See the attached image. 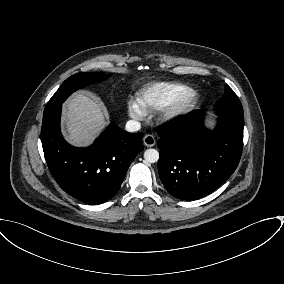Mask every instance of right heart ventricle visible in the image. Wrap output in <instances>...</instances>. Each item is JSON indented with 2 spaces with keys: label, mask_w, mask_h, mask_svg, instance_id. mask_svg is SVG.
Segmentation results:
<instances>
[{
  "label": "right heart ventricle",
  "mask_w": 284,
  "mask_h": 284,
  "mask_svg": "<svg viewBox=\"0 0 284 284\" xmlns=\"http://www.w3.org/2000/svg\"><path fill=\"white\" fill-rule=\"evenodd\" d=\"M190 90L178 82H155L144 86L137 93L136 101L144 112L160 110Z\"/></svg>",
  "instance_id": "right-heart-ventricle-1"
}]
</instances>
